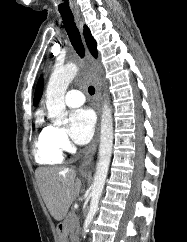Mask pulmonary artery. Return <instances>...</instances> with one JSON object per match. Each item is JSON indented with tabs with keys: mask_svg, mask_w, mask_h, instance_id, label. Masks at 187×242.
Masks as SVG:
<instances>
[{
	"mask_svg": "<svg viewBox=\"0 0 187 242\" xmlns=\"http://www.w3.org/2000/svg\"><path fill=\"white\" fill-rule=\"evenodd\" d=\"M65 102L70 107H77L84 103V96L79 90H69L65 95Z\"/></svg>",
	"mask_w": 187,
	"mask_h": 242,
	"instance_id": "e3ab8cb5",
	"label": "pulmonary artery"
}]
</instances>
